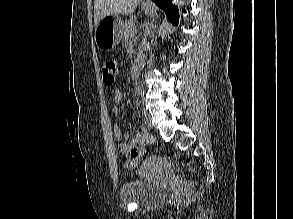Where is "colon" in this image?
Segmentation results:
<instances>
[{
  "label": "colon",
  "instance_id": "1",
  "mask_svg": "<svg viewBox=\"0 0 293 219\" xmlns=\"http://www.w3.org/2000/svg\"><path fill=\"white\" fill-rule=\"evenodd\" d=\"M118 73V63L113 57H107L103 61V81L107 86L114 83ZM153 143V137L145 131L141 144L130 151V159L127 162L128 168H134L137 160L144 154L145 149Z\"/></svg>",
  "mask_w": 293,
  "mask_h": 219
}]
</instances>
